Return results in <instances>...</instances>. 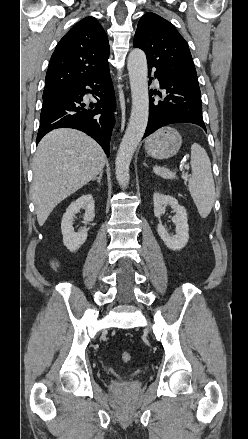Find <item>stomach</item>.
I'll use <instances>...</instances> for the list:
<instances>
[{
    "label": "stomach",
    "instance_id": "obj_1",
    "mask_svg": "<svg viewBox=\"0 0 248 439\" xmlns=\"http://www.w3.org/2000/svg\"><path fill=\"white\" fill-rule=\"evenodd\" d=\"M182 137L171 127H164L145 141V150L155 159H168L180 149Z\"/></svg>",
    "mask_w": 248,
    "mask_h": 439
}]
</instances>
